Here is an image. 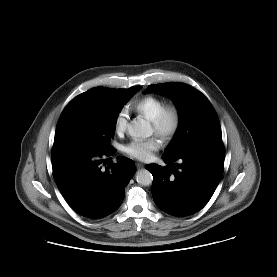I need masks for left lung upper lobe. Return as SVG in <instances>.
Wrapping results in <instances>:
<instances>
[{
	"label": "left lung upper lobe",
	"instance_id": "5c2ea615",
	"mask_svg": "<svg viewBox=\"0 0 277 277\" xmlns=\"http://www.w3.org/2000/svg\"><path fill=\"white\" fill-rule=\"evenodd\" d=\"M151 91L171 97L180 116L178 130L163 158L177 160L205 142L222 141L217 114L200 91L179 82L150 85L144 93Z\"/></svg>",
	"mask_w": 277,
	"mask_h": 277
}]
</instances>
